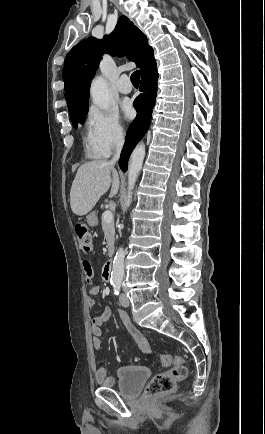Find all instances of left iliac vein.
Segmentation results:
<instances>
[{"label": "left iliac vein", "instance_id": "1", "mask_svg": "<svg viewBox=\"0 0 265 434\" xmlns=\"http://www.w3.org/2000/svg\"><path fill=\"white\" fill-rule=\"evenodd\" d=\"M119 302L123 307H128L130 305V302L126 296V294H120L119 296Z\"/></svg>", "mask_w": 265, "mask_h": 434}]
</instances>
